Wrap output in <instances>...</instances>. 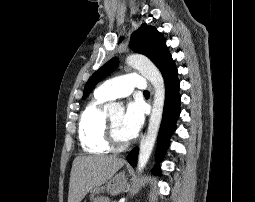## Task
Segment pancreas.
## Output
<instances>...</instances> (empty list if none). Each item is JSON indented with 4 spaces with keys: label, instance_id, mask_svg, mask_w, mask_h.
<instances>
[{
    "label": "pancreas",
    "instance_id": "obj_1",
    "mask_svg": "<svg viewBox=\"0 0 255 202\" xmlns=\"http://www.w3.org/2000/svg\"><path fill=\"white\" fill-rule=\"evenodd\" d=\"M93 202H109V201H104L103 197H97L96 199L93 200Z\"/></svg>",
    "mask_w": 255,
    "mask_h": 202
}]
</instances>
